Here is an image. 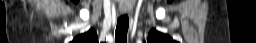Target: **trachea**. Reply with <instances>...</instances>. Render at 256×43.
<instances>
[{"label":"trachea","instance_id":"3493384b","mask_svg":"<svg viewBox=\"0 0 256 43\" xmlns=\"http://www.w3.org/2000/svg\"><path fill=\"white\" fill-rule=\"evenodd\" d=\"M128 27H129V18L126 14H123L117 20V25L115 30L116 43H127Z\"/></svg>","mask_w":256,"mask_h":43}]
</instances>
